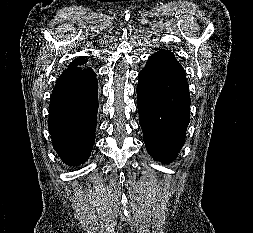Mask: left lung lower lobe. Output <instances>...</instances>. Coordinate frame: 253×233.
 I'll list each match as a JSON object with an SVG mask.
<instances>
[{
  "mask_svg": "<svg viewBox=\"0 0 253 233\" xmlns=\"http://www.w3.org/2000/svg\"><path fill=\"white\" fill-rule=\"evenodd\" d=\"M138 111L150 155L172 162L184 145L190 121V95L185 72L175 55L159 50L139 73Z\"/></svg>",
  "mask_w": 253,
  "mask_h": 233,
  "instance_id": "1",
  "label": "left lung lower lobe"
}]
</instances>
